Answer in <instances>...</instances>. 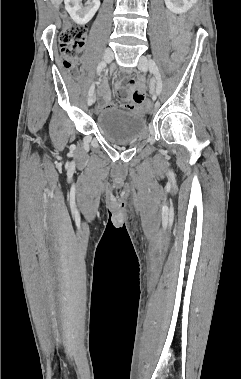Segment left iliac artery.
Returning <instances> with one entry per match:
<instances>
[{"mask_svg": "<svg viewBox=\"0 0 241 379\" xmlns=\"http://www.w3.org/2000/svg\"><path fill=\"white\" fill-rule=\"evenodd\" d=\"M149 65H150V70L154 73L157 80L156 92L157 94H160L162 91V79H161L160 71L154 60H151Z\"/></svg>", "mask_w": 241, "mask_h": 379, "instance_id": "obj_1", "label": "left iliac artery"}]
</instances>
